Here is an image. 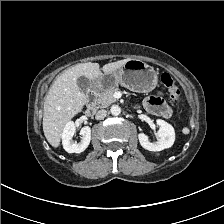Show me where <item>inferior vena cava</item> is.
Listing matches in <instances>:
<instances>
[{
    "instance_id": "inferior-vena-cava-1",
    "label": "inferior vena cava",
    "mask_w": 224,
    "mask_h": 224,
    "mask_svg": "<svg viewBox=\"0 0 224 224\" xmlns=\"http://www.w3.org/2000/svg\"><path fill=\"white\" fill-rule=\"evenodd\" d=\"M106 115H107V111L105 109H101L97 111L95 118L97 120H101V119H104Z\"/></svg>"
}]
</instances>
